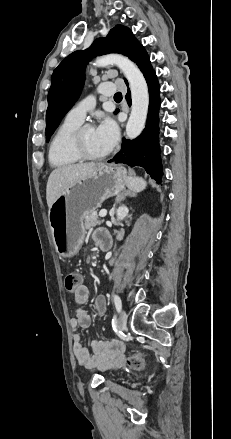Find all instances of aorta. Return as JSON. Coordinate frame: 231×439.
<instances>
[{
  "label": "aorta",
  "instance_id": "aorta-1",
  "mask_svg": "<svg viewBox=\"0 0 231 439\" xmlns=\"http://www.w3.org/2000/svg\"><path fill=\"white\" fill-rule=\"evenodd\" d=\"M93 65L97 67L116 65L128 80L132 105L130 117L126 125V135L129 139L136 138L144 129L149 107L148 86L143 74L136 64L120 54H108L98 57ZM128 211L126 206H120L117 209V220L124 219Z\"/></svg>",
  "mask_w": 231,
  "mask_h": 439
}]
</instances>
